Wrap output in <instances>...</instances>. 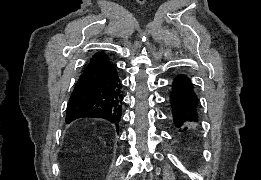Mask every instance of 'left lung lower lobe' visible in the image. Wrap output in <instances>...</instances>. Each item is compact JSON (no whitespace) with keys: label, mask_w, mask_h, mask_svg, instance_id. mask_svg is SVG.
Segmentation results:
<instances>
[{"label":"left lung lower lobe","mask_w":261,"mask_h":180,"mask_svg":"<svg viewBox=\"0 0 261 180\" xmlns=\"http://www.w3.org/2000/svg\"><path fill=\"white\" fill-rule=\"evenodd\" d=\"M170 102L173 122L179 132L198 123L200 104L189 77L179 74L173 79Z\"/></svg>","instance_id":"0a47b994"}]
</instances>
